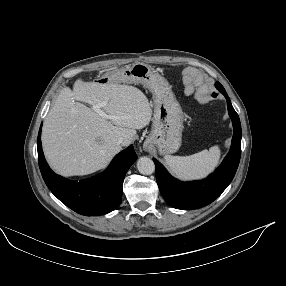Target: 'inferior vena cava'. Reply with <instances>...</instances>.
Returning <instances> with one entry per match:
<instances>
[{
	"mask_svg": "<svg viewBox=\"0 0 286 286\" xmlns=\"http://www.w3.org/2000/svg\"><path fill=\"white\" fill-rule=\"evenodd\" d=\"M117 143H118L119 145L125 146V145H126V140H125L124 138L120 137V138L118 139Z\"/></svg>",
	"mask_w": 286,
	"mask_h": 286,
	"instance_id": "602c4592",
	"label": "inferior vena cava"
}]
</instances>
